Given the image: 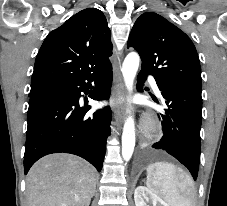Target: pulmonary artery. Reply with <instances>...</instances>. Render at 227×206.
I'll list each match as a JSON object with an SVG mask.
<instances>
[{
	"mask_svg": "<svg viewBox=\"0 0 227 206\" xmlns=\"http://www.w3.org/2000/svg\"><path fill=\"white\" fill-rule=\"evenodd\" d=\"M151 84L153 86V88L159 93V89L157 87V84L155 82V80L153 78H150Z\"/></svg>",
	"mask_w": 227,
	"mask_h": 206,
	"instance_id": "1",
	"label": "pulmonary artery"
}]
</instances>
